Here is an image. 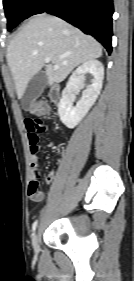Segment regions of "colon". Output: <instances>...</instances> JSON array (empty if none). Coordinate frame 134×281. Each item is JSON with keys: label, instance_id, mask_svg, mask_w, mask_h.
Listing matches in <instances>:
<instances>
[{"label": "colon", "instance_id": "obj_1", "mask_svg": "<svg viewBox=\"0 0 134 281\" xmlns=\"http://www.w3.org/2000/svg\"><path fill=\"white\" fill-rule=\"evenodd\" d=\"M32 111L36 114H46L49 111V106L44 102H35L32 105ZM29 195L33 198H39L42 195V191L39 189L38 181H31L29 184Z\"/></svg>", "mask_w": 134, "mask_h": 281}]
</instances>
